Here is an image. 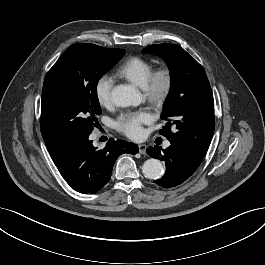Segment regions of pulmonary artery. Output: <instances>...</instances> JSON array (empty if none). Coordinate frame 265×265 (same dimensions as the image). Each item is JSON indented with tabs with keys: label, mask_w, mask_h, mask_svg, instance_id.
<instances>
[{
	"label": "pulmonary artery",
	"mask_w": 265,
	"mask_h": 265,
	"mask_svg": "<svg viewBox=\"0 0 265 265\" xmlns=\"http://www.w3.org/2000/svg\"><path fill=\"white\" fill-rule=\"evenodd\" d=\"M169 145H170L169 142H166V143H165V147H168Z\"/></svg>",
	"instance_id": "e3ab8cb5"
}]
</instances>
